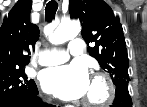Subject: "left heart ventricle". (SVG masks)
<instances>
[{"label": "left heart ventricle", "mask_w": 147, "mask_h": 107, "mask_svg": "<svg viewBox=\"0 0 147 107\" xmlns=\"http://www.w3.org/2000/svg\"><path fill=\"white\" fill-rule=\"evenodd\" d=\"M101 92H102V88H101L100 84L96 83V82H91L89 89H88V92L86 93L85 96H86V98H88V97L98 98V97H100Z\"/></svg>", "instance_id": "obj_1"}]
</instances>
